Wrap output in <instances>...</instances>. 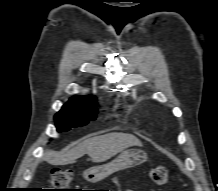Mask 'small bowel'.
<instances>
[{"instance_id":"c3829d8e","label":"small bowel","mask_w":218,"mask_h":191,"mask_svg":"<svg viewBox=\"0 0 218 191\" xmlns=\"http://www.w3.org/2000/svg\"><path fill=\"white\" fill-rule=\"evenodd\" d=\"M125 191H133V190L127 189V190H125Z\"/></svg>"}]
</instances>
